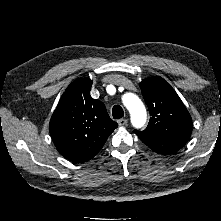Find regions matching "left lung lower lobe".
<instances>
[{"mask_svg": "<svg viewBox=\"0 0 221 221\" xmlns=\"http://www.w3.org/2000/svg\"><path fill=\"white\" fill-rule=\"evenodd\" d=\"M137 135L149 148L163 155L175 153L188 141L185 139H167L143 132H138Z\"/></svg>", "mask_w": 221, "mask_h": 221, "instance_id": "1", "label": "left lung lower lobe"}]
</instances>
